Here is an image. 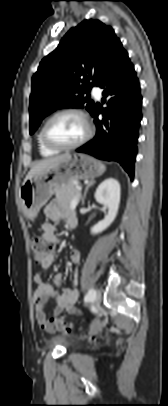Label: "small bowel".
Listing matches in <instances>:
<instances>
[{"label":"small bowel","instance_id":"small-bowel-1","mask_svg":"<svg viewBox=\"0 0 168 406\" xmlns=\"http://www.w3.org/2000/svg\"><path fill=\"white\" fill-rule=\"evenodd\" d=\"M45 215L50 219V222H46L42 225L41 237L52 245H56L60 242V239L56 234V225L59 221L65 219L68 225L77 221L75 211L59 200H53L46 206ZM54 257L55 251H53L49 258L41 264V268L43 270L49 269L53 264ZM70 262L74 266H78L81 263V255L79 251L72 250L70 252ZM33 281L37 285L34 293L35 317L37 323L42 329L49 332L54 330L46 314L47 304L50 300L55 301V316H60L64 311H67L72 315H78L80 313L76 307L79 295L76 287L77 276H74L73 286L67 288H61L63 281L62 273L56 274L52 283H46L43 281L42 273L37 272L33 276Z\"/></svg>","mask_w":168,"mask_h":406}]
</instances>
